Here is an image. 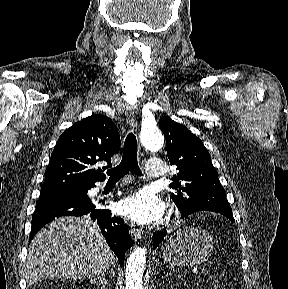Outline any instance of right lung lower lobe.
<instances>
[{"label":"right lung lower lobe","mask_w":288,"mask_h":289,"mask_svg":"<svg viewBox=\"0 0 288 289\" xmlns=\"http://www.w3.org/2000/svg\"><path fill=\"white\" fill-rule=\"evenodd\" d=\"M92 187H95V185L87 187V191ZM86 214H90V217L97 221L106 242L117 255L120 265H122L125 252L132 245L128 227L124 224L122 218L112 216L109 210L95 209V205L90 200L71 197L38 200L32 217L30 238L32 239L45 224L55 218Z\"/></svg>","instance_id":"right-lung-lower-lobe-1"}]
</instances>
